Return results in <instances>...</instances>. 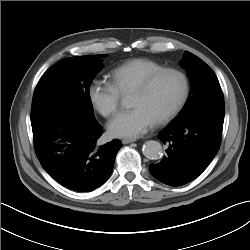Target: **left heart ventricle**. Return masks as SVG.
<instances>
[{"instance_id":"b2bd125f","label":"left heart ventricle","mask_w":250,"mask_h":250,"mask_svg":"<svg viewBox=\"0 0 250 250\" xmlns=\"http://www.w3.org/2000/svg\"><path fill=\"white\" fill-rule=\"evenodd\" d=\"M182 80L175 74L159 77L146 93H132L131 106L144 108L157 121L177 102L182 92Z\"/></svg>"}]
</instances>
